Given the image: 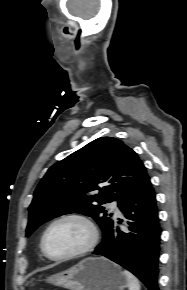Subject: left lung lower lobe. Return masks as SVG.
Listing matches in <instances>:
<instances>
[{
	"instance_id": "0a47b994",
	"label": "left lung lower lobe",
	"mask_w": 187,
	"mask_h": 290,
	"mask_svg": "<svg viewBox=\"0 0 187 290\" xmlns=\"http://www.w3.org/2000/svg\"><path fill=\"white\" fill-rule=\"evenodd\" d=\"M118 205L127 219L128 229L121 230L119 224L122 220H114L93 254L105 256L123 266L149 290H159L161 228L149 176L135 185Z\"/></svg>"
}]
</instances>
